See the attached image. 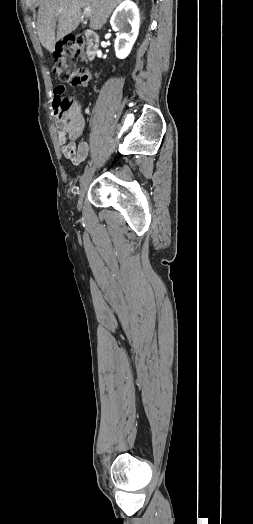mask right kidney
Masks as SVG:
<instances>
[{
    "label": "right kidney",
    "instance_id": "ca27d5eb",
    "mask_svg": "<svg viewBox=\"0 0 253 524\" xmlns=\"http://www.w3.org/2000/svg\"><path fill=\"white\" fill-rule=\"evenodd\" d=\"M110 24L114 31H118L114 45L116 57L124 59L131 52L139 33L140 19L137 5L130 0L121 3L114 11Z\"/></svg>",
    "mask_w": 253,
    "mask_h": 524
}]
</instances>
